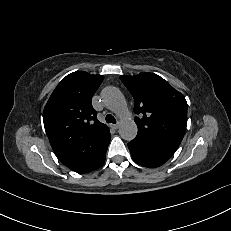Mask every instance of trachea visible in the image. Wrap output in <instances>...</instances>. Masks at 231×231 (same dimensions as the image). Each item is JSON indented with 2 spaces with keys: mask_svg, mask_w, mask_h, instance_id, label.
<instances>
[{
  "mask_svg": "<svg viewBox=\"0 0 231 231\" xmlns=\"http://www.w3.org/2000/svg\"><path fill=\"white\" fill-rule=\"evenodd\" d=\"M106 122L107 123H113V124H115L116 123V119L111 114H108L106 116Z\"/></svg>",
  "mask_w": 231,
  "mask_h": 231,
  "instance_id": "3493384b",
  "label": "trachea"
}]
</instances>
